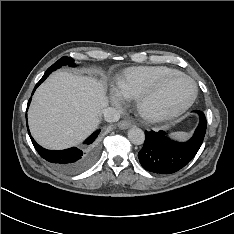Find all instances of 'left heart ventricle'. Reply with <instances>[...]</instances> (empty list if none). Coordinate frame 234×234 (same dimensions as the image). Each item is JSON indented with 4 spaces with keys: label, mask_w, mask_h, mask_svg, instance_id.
Masks as SVG:
<instances>
[{
    "label": "left heart ventricle",
    "mask_w": 234,
    "mask_h": 234,
    "mask_svg": "<svg viewBox=\"0 0 234 234\" xmlns=\"http://www.w3.org/2000/svg\"><path fill=\"white\" fill-rule=\"evenodd\" d=\"M190 81L182 77L172 79L165 88L156 95L152 106L156 108H174L184 104L192 95Z\"/></svg>",
    "instance_id": "1"
}]
</instances>
